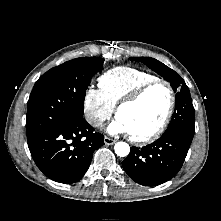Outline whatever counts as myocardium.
<instances>
[{"instance_id": "obj_1", "label": "myocardium", "mask_w": 221, "mask_h": 221, "mask_svg": "<svg viewBox=\"0 0 221 221\" xmlns=\"http://www.w3.org/2000/svg\"><path fill=\"white\" fill-rule=\"evenodd\" d=\"M159 84L166 86V88L169 92V96H170L169 106H168L167 112L165 114V117L162 120L161 124L158 126V128L155 129L153 132H151L148 135L141 136V137H135L129 133V138L133 143L147 144V143L155 141L163 134V132L166 130V128L172 118V115H173V112L175 109L176 95H175L174 89L168 81L163 80V79H155V80L149 81V82L141 85L139 88H137L135 91H133L132 93L127 95L125 98H123L116 105V117L118 118L119 112L123 108L137 103L150 88H152L155 85H159Z\"/></svg>"}]
</instances>
